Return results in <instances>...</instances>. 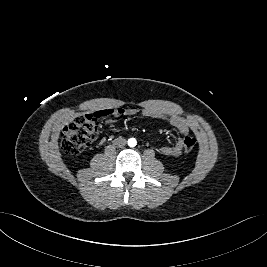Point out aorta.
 Listing matches in <instances>:
<instances>
[{
    "instance_id": "762f6f07",
    "label": "aorta",
    "mask_w": 267,
    "mask_h": 267,
    "mask_svg": "<svg viewBox=\"0 0 267 267\" xmlns=\"http://www.w3.org/2000/svg\"><path fill=\"white\" fill-rule=\"evenodd\" d=\"M136 144H137V141H136L135 138H130V139L128 140V145H129L130 147H135Z\"/></svg>"
}]
</instances>
